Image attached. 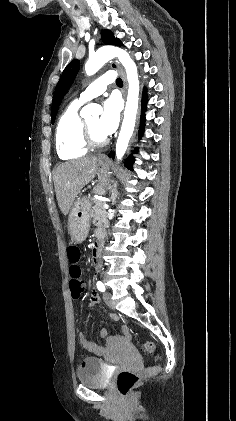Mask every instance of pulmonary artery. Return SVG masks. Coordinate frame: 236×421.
Here are the masks:
<instances>
[{
	"label": "pulmonary artery",
	"mask_w": 236,
	"mask_h": 421,
	"mask_svg": "<svg viewBox=\"0 0 236 421\" xmlns=\"http://www.w3.org/2000/svg\"><path fill=\"white\" fill-rule=\"evenodd\" d=\"M114 79V71L108 70L107 73L100 76L96 82L90 84L76 101L79 103H85L97 97L107 89L109 84L114 82Z\"/></svg>",
	"instance_id": "pulmonary-artery-1"
}]
</instances>
